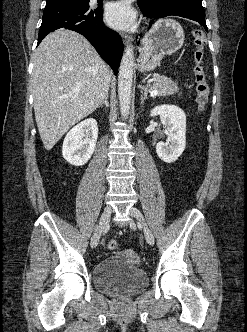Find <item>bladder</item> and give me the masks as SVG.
Instances as JSON below:
<instances>
[{
  "mask_svg": "<svg viewBox=\"0 0 247 332\" xmlns=\"http://www.w3.org/2000/svg\"><path fill=\"white\" fill-rule=\"evenodd\" d=\"M92 281L97 290L125 298L143 291L148 285V276L138 265L133 251L121 250L94 266Z\"/></svg>",
  "mask_w": 247,
  "mask_h": 332,
  "instance_id": "bladder-1",
  "label": "bladder"
}]
</instances>
